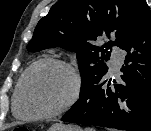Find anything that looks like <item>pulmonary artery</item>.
<instances>
[{
  "label": "pulmonary artery",
  "mask_w": 151,
  "mask_h": 131,
  "mask_svg": "<svg viewBox=\"0 0 151 131\" xmlns=\"http://www.w3.org/2000/svg\"><path fill=\"white\" fill-rule=\"evenodd\" d=\"M122 60H123L122 53H120L119 51H115L110 61L111 66L115 71H117L118 68L120 67Z\"/></svg>",
  "instance_id": "1"
}]
</instances>
